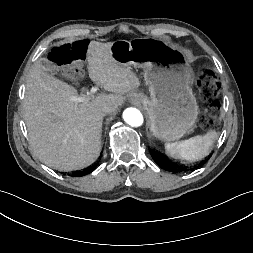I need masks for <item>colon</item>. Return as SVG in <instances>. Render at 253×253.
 <instances>
[{"mask_svg":"<svg viewBox=\"0 0 253 253\" xmlns=\"http://www.w3.org/2000/svg\"><path fill=\"white\" fill-rule=\"evenodd\" d=\"M87 42L77 40L55 47L52 50V60L58 65H69L85 58ZM201 96L208 101L205 115L201 126L205 130L211 129L218 121L220 115V104L217 99L220 91V83L210 72H203L197 79Z\"/></svg>","mask_w":253,"mask_h":253,"instance_id":"5ec220e1","label":"colon"}]
</instances>
